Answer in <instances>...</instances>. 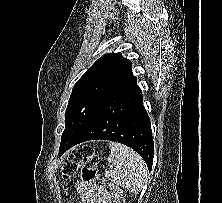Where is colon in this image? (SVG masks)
Returning <instances> with one entry per match:
<instances>
[{"mask_svg": "<svg viewBox=\"0 0 222 203\" xmlns=\"http://www.w3.org/2000/svg\"><path fill=\"white\" fill-rule=\"evenodd\" d=\"M79 170L81 171V180L85 184L94 183L107 187L111 190L112 203H123L120 189L100 175L98 158L93 147L84 145L72 151L61 166V175L68 180Z\"/></svg>", "mask_w": 222, "mask_h": 203, "instance_id": "5ec220e1", "label": "colon"}]
</instances>
